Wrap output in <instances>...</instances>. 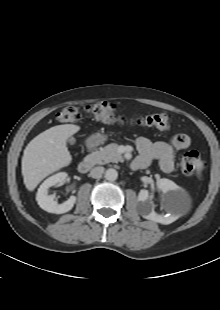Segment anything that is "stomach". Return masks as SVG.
Masks as SVG:
<instances>
[{
    "label": "stomach",
    "mask_w": 220,
    "mask_h": 310,
    "mask_svg": "<svg viewBox=\"0 0 220 310\" xmlns=\"http://www.w3.org/2000/svg\"><path fill=\"white\" fill-rule=\"evenodd\" d=\"M105 140H106V138L103 135L95 134L89 138L88 143L90 145H97V144L104 142Z\"/></svg>",
    "instance_id": "1"
}]
</instances>
